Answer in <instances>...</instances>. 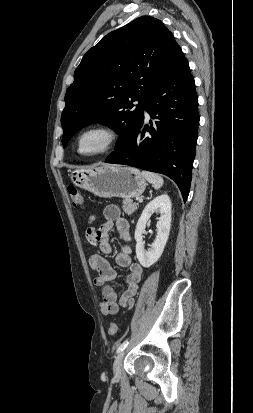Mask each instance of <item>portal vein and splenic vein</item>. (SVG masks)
Returning a JSON list of instances; mask_svg holds the SVG:
<instances>
[{"mask_svg": "<svg viewBox=\"0 0 253 413\" xmlns=\"http://www.w3.org/2000/svg\"><path fill=\"white\" fill-rule=\"evenodd\" d=\"M137 201L142 202V200H141V199H137Z\"/></svg>", "mask_w": 253, "mask_h": 413, "instance_id": "obj_1", "label": "portal vein and splenic vein"}]
</instances>
